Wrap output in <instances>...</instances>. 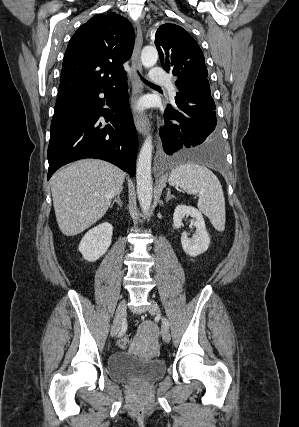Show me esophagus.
<instances>
[{
    "label": "esophagus",
    "mask_w": 299,
    "mask_h": 427,
    "mask_svg": "<svg viewBox=\"0 0 299 427\" xmlns=\"http://www.w3.org/2000/svg\"><path fill=\"white\" fill-rule=\"evenodd\" d=\"M143 37H142V29L140 24L137 26V35L134 45V50L132 54V80H133V93H132V101L133 103L136 101L138 96H140L143 92V85L140 82L138 71H142V65L140 60V52L142 48ZM134 124L139 133L145 135L148 131V120L145 114H138L134 112L133 114Z\"/></svg>",
    "instance_id": "1"
}]
</instances>
